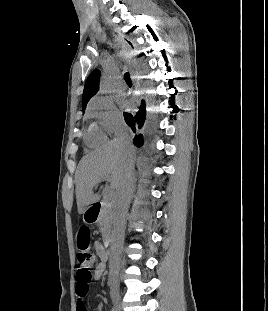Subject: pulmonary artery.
Segmentation results:
<instances>
[{
	"instance_id": "obj_1",
	"label": "pulmonary artery",
	"mask_w": 268,
	"mask_h": 311,
	"mask_svg": "<svg viewBox=\"0 0 268 311\" xmlns=\"http://www.w3.org/2000/svg\"><path fill=\"white\" fill-rule=\"evenodd\" d=\"M125 87V85L122 83V82H119L118 83V88L119 89H123Z\"/></svg>"
}]
</instances>
